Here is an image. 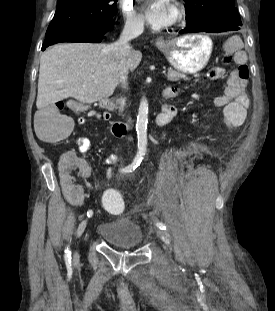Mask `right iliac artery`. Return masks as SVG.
Listing matches in <instances>:
<instances>
[{"mask_svg": "<svg viewBox=\"0 0 275 311\" xmlns=\"http://www.w3.org/2000/svg\"><path fill=\"white\" fill-rule=\"evenodd\" d=\"M141 161H142V154L138 153L136 155V157L134 158L133 162L130 165H128L127 167L122 168L120 170V172L121 173H129V172L134 171L140 165ZM92 215H93V211L92 210L87 211V216L88 217H91ZM64 258H65L66 261L71 262V251H70V249L68 247L65 249Z\"/></svg>", "mask_w": 275, "mask_h": 311, "instance_id": "obj_1", "label": "right iliac artery"}]
</instances>
